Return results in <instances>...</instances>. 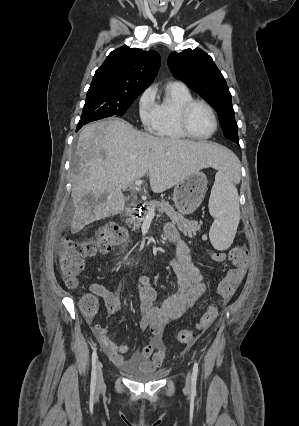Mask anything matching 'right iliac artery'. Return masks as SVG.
Masks as SVG:
<instances>
[{
  "instance_id": "1",
  "label": "right iliac artery",
  "mask_w": 299,
  "mask_h": 426,
  "mask_svg": "<svg viewBox=\"0 0 299 426\" xmlns=\"http://www.w3.org/2000/svg\"><path fill=\"white\" fill-rule=\"evenodd\" d=\"M96 361H97V349L95 348L92 353V372H91V389L94 390L96 386Z\"/></svg>"
}]
</instances>
